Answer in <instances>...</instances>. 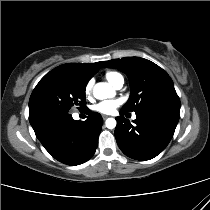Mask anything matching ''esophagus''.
<instances>
[{
	"label": "esophagus",
	"mask_w": 210,
	"mask_h": 210,
	"mask_svg": "<svg viewBox=\"0 0 210 210\" xmlns=\"http://www.w3.org/2000/svg\"><path fill=\"white\" fill-rule=\"evenodd\" d=\"M108 117H109V116H107V115H102V118H103L104 120H106Z\"/></svg>",
	"instance_id": "1"
}]
</instances>
